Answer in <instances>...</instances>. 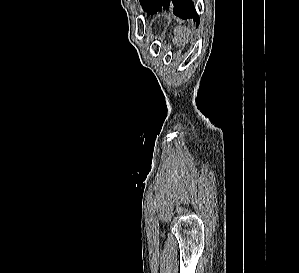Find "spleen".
<instances>
[{
  "label": "spleen",
  "instance_id": "obj_1",
  "mask_svg": "<svg viewBox=\"0 0 299 273\" xmlns=\"http://www.w3.org/2000/svg\"><path fill=\"white\" fill-rule=\"evenodd\" d=\"M191 31L189 28L184 27V26H178L174 29V44L176 46H181L182 43L188 39V37L190 36Z\"/></svg>",
  "mask_w": 299,
  "mask_h": 273
}]
</instances>
